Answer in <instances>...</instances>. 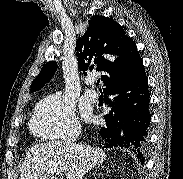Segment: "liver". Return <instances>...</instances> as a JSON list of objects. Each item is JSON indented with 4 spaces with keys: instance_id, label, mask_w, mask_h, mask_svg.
Masks as SVG:
<instances>
[{
    "instance_id": "liver-1",
    "label": "liver",
    "mask_w": 183,
    "mask_h": 179,
    "mask_svg": "<svg viewBox=\"0 0 183 179\" xmlns=\"http://www.w3.org/2000/svg\"><path fill=\"white\" fill-rule=\"evenodd\" d=\"M106 157V153L99 148L84 144H75L72 148L65 147L59 141L36 144L26 155L19 179H57L46 174L53 168L63 171L66 179H82Z\"/></svg>"
}]
</instances>
